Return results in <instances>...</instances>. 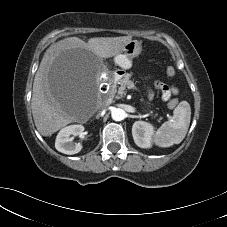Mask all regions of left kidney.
Returning a JSON list of instances; mask_svg holds the SVG:
<instances>
[{
	"label": "left kidney",
	"mask_w": 227,
	"mask_h": 227,
	"mask_svg": "<svg viewBox=\"0 0 227 227\" xmlns=\"http://www.w3.org/2000/svg\"><path fill=\"white\" fill-rule=\"evenodd\" d=\"M154 127L152 124L144 121H136L132 126V136L137 146L141 148H150L152 146V136Z\"/></svg>",
	"instance_id": "obj_1"
}]
</instances>
